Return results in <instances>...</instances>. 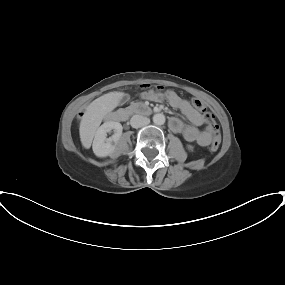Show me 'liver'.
<instances>
[{"label": "liver", "instance_id": "1", "mask_svg": "<svg viewBox=\"0 0 285 285\" xmlns=\"http://www.w3.org/2000/svg\"><path fill=\"white\" fill-rule=\"evenodd\" d=\"M118 96V93H107L87 106L79 128L80 140L84 148H90L101 121L117 105Z\"/></svg>", "mask_w": 285, "mask_h": 285}]
</instances>
